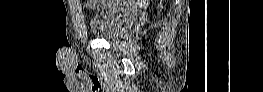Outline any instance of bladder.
Masks as SVG:
<instances>
[{"mask_svg": "<svg viewBox=\"0 0 263 92\" xmlns=\"http://www.w3.org/2000/svg\"><path fill=\"white\" fill-rule=\"evenodd\" d=\"M136 18L135 10L107 6L92 19L91 31L100 38L113 40L131 29Z\"/></svg>", "mask_w": 263, "mask_h": 92, "instance_id": "1", "label": "bladder"}]
</instances>
